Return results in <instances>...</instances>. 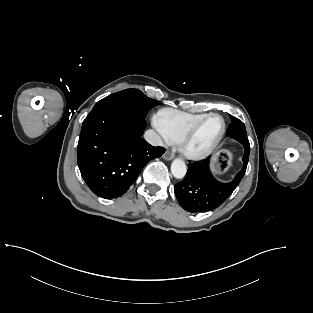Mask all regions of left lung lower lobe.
<instances>
[{"label": "left lung lower lobe", "mask_w": 313, "mask_h": 313, "mask_svg": "<svg viewBox=\"0 0 313 313\" xmlns=\"http://www.w3.org/2000/svg\"><path fill=\"white\" fill-rule=\"evenodd\" d=\"M240 142L245 150L243 168L229 183H220L209 169L210 157L191 163L185 178L174 186L176 198L183 209L191 213L210 211L220 206L235 190L243 178L250 153L246 135L230 136Z\"/></svg>", "instance_id": "left-lung-lower-lobe-1"}]
</instances>
